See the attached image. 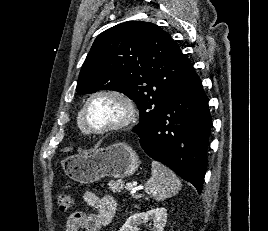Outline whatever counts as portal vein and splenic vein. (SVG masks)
<instances>
[{"instance_id":"1","label":"portal vein and splenic vein","mask_w":268,"mask_h":231,"mask_svg":"<svg viewBox=\"0 0 268 231\" xmlns=\"http://www.w3.org/2000/svg\"><path fill=\"white\" fill-rule=\"evenodd\" d=\"M126 189L129 190V191L133 190V185L130 184V183H127L126 184Z\"/></svg>"}]
</instances>
